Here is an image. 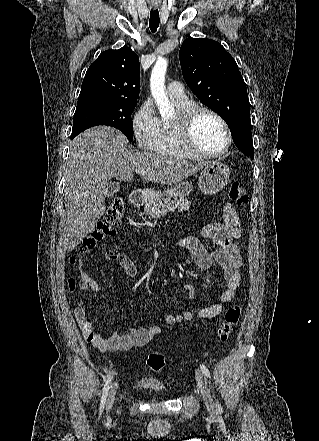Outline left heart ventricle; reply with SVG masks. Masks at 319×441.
Instances as JSON below:
<instances>
[{
	"label": "left heart ventricle",
	"instance_id": "obj_1",
	"mask_svg": "<svg viewBox=\"0 0 319 441\" xmlns=\"http://www.w3.org/2000/svg\"><path fill=\"white\" fill-rule=\"evenodd\" d=\"M194 143L205 152H218L226 144V134L221 124L210 115H201L196 122Z\"/></svg>",
	"mask_w": 319,
	"mask_h": 441
}]
</instances>
